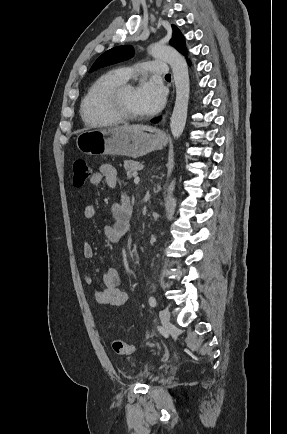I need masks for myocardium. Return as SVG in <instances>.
Instances as JSON below:
<instances>
[{
    "instance_id": "myocardium-1",
    "label": "myocardium",
    "mask_w": 287,
    "mask_h": 434,
    "mask_svg": "<svg viewBox=\"0 0 287 434\" xmlns=\"http://www.w3.org/2000/svg\"><path fill=\"white\" fill-rule=\"evenodd\" d=\"M133 88V85L128 82H124L110 89L105 97V104L109 112L115 116L119 121L135 122L145 118L144 115H135L129 113L122 101L124 92L127 89Z\"/></svg>"
}]
</instances>
